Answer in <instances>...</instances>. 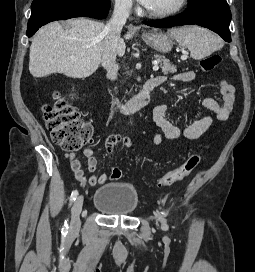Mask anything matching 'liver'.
Segmentation results:
<instances>
[{"label":"liver","instance_id":"6515ba94","mask_svg":"<svg viewBox=\"0 0 255 272\" xmlns=\"http://www.w3.org/2000/svg\"><path fill=\"white\" fill-rule=\"evenodd\" d=\"M103 22L75 18L43 26L35 35L30 47L29 71L33 77L42 78L53 73L72 78H86L99 67L105 48L107 32ZM131 27L125 39L136 33ZM126 45L120 39L117 54L123 56Z\"/></svg>","mask_w":255,"mask_h":272}]
</instances>
